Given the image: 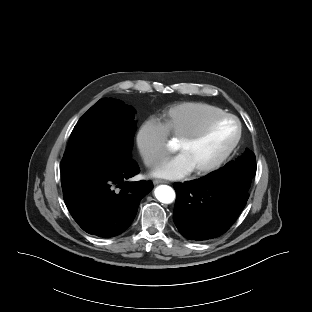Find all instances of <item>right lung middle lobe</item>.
<instances>
[{
	"label": "right lung middle lobe",
	"mask_w": 312,
	"mask_h": 312,
	"mask_svg": "<svg viewBox=\"0 0 312 312\" xmlns=\"http://www.w3.org/2000/svg\"><path fill=\"white\" fill-rule=\"evenodd\" d=\"M135 112L120 100L102 98L79 119L61 161L63 190L130 159Z\"/></svg>",
	"instance_id": "obj_1"
}]
</instances>
